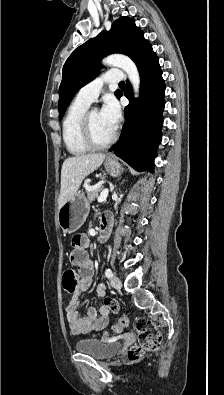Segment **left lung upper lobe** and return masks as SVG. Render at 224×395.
<instances>
[{"label": "left lung upper lobe", "mask_w": 224, "mask_h": 395, "mask_svg": "<svg viewBox=\"0 0 224 395\" xmlns=\"http://www.w3.org/2000/svg\"><path fill=\"white\" fill-rule=\"evenodd\" d=\"M148 44L135 22L128 17H121L112 24L110 31L101 32L75 49L63 67L59 88V119H62L76 92L97 76L103 57L122 53L134 61ZM118 94L117 90L115 95Z\"/></svg>", "instance_id": "obj_1"}]
</instances>
